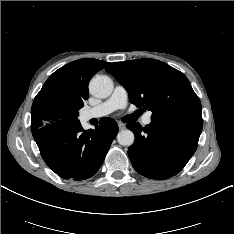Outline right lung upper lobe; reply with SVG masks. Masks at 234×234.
<instances>
[{
    "mask_svg": "<svg viewBox=\"0 0 234 234\" xmlns=\"http://www.w3.org/2000/svg\"><path fill=\"white\" fill-rule=\"evenodd\" d=\"M108 64L96 59H79L55 71L33 101L32 129L78 117L79 109L89 97L91 77Z\"/></svg>",
    "mask_w": 234,
    "mask_h": 234,
    "instance_id": "right-lung-upper-lobe-1",
    "label": "right lung upper lobe"
}]
</instances>
